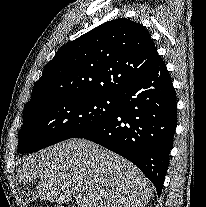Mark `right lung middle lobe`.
<instances>
[{"instance_id": "1", "label": "right lung middle lobe", "mask_w": 206, "mask_h": 207, "mask_svg": "<svg viewBox=\"0 0 206 207\" xmlns=\"http://www.w3.org/2000/svg\"><path fill=\"white\" fill-rule=\"evenodd\" d=\"M117 108L118 95L69 97L35 105L24 110L18 152H35L77 137L111 116Z\"/></svg>"}]
</instances>
